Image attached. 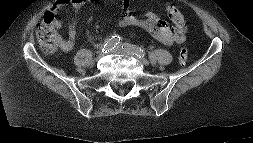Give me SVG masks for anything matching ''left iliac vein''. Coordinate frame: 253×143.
<instances>
[{"mask_svg":"<svg viewBox=\"0 0 253 143\" xmlns=\"http://www.w3.org/2000/svg\"><path fill=\"white\" fill-rule=\"evenodd\" d=\"M123 52L124 53H127V54H130V55H133V49H132V46H128V47H124L122 48ZM136 56V55H135ZM139 58V57H138ZM141 63L144 64V65H148L149 64V61L146 60L145 58H139Z\"/></svg>","mask_w":253,"mask_h":143,"instance_id":"left-iliac-vein-1","label":"left iliac vein"}]
</instances>
